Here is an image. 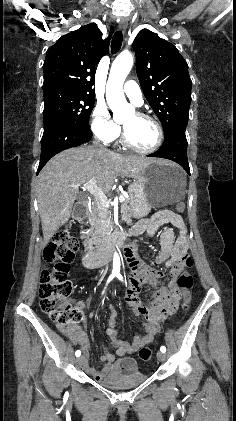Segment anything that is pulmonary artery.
<instances>
[{"label": "pulmonary artery", "mask_w": 236, "mask_h": 421, "mask_svg": "<svg viewBox=\"0 0 236 421\" xmlns=\"http://www.w3.org/2000/svg\"><path fill=\"white\" fill-rule=\"evenodd\" d=\"M123 89L128 98L136 105L141 106L143 104V96L140 88L137 84L125 83Z\"/></svg>", "instance_id": "pulmonary-artery-1"}]
</instances>
